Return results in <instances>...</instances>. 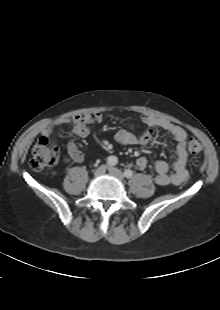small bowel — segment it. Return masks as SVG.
Listing matches in <instances>:
<instances>
[{"mask_svg":"<svg viewBox=\"0 0 220 310\" xmlns=\"http://www.w3.org/2000/svg\"><path fill=\"white\" fill-rule=\"evenodd\" d=\"M102 120L103 116L101 113L76 114L45 125L41 130V135L42 138H46L50 141L56 126L70 125L71 134L83 138L90 133V128L93 124L100 123ZM142 121L147 127L142 134L137 135L128 129H119L115 133V141L123 145H147L152 140L153 128H161L167 131L176 142V160L172 165L173 172H169V165L167 162L162 160L155 161L152 164L156 173L154 182L160 186L170 184L175 186L181 185L188 178V134L186 130L165 118L153 115H144ZM66 149L68 154L65 158L66 162L81 163L84 161V154L74 141H69L66 145ZM136 166L140 170H145L149 166V161L145 157H139L136 160Z\"/></svg>","mask_w":220,"mask_h":310,"instance_id":"small-bowel-1","label":"small bowel"}]
</instances>
